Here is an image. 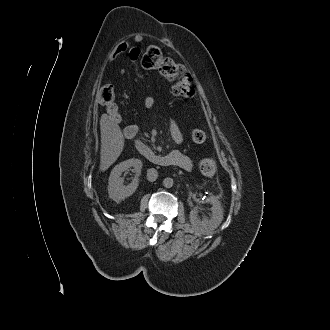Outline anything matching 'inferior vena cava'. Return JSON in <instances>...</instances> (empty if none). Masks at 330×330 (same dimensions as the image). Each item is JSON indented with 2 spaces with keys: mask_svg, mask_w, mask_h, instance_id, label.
Wrapping results in <instances>:
<instances>
[{
  "mask_svg": "<svg viewBox=\"0 0 330 330\" xmlns=\"http://www.w3.org/2000/svg\"><path fill=\"white\" fill-rule=\"evenodd\" d=\"M158 177V172L156 169L154 168H151V169H148L147 171V180L150 181V182H154Z\"/></svg>",
  "mask_w": 330,
  "mask_h": 330,
  "instance_id": "602c4592",
  "label": "inferior vena cava"
}]
</instances>
